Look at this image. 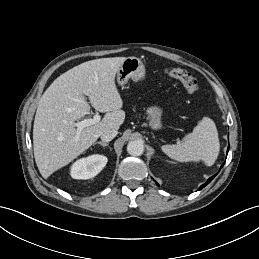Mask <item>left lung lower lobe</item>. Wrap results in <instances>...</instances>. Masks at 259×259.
<instances>
[{
  "instance_id": "0a47b994",
  "label": "left lung lower lobe",
  "mask_w": 259,
  "mask_h": 259,
  "mask_svg": "<svg viewBox=\"0 0 259 259\" xmlns=\"http://www.w3.org/2000/svg\"><path fill=\"white\" fill-rule=\"evenodd\" d=\"M222 166H223V165H222ZM214 177H215V175L212 176V177H210V178L207 180V182H206L205 184H203V185L200 186L199 190H201V189L204 188L207 184H209V183L213 180Z\"/></svg>"
}]
</instances>
